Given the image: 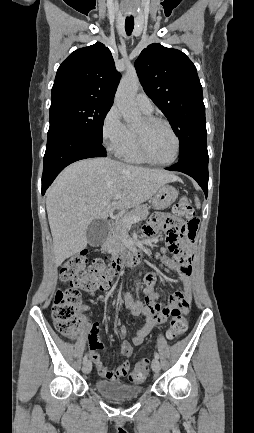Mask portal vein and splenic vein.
Masks as SVG:
<instances>
[{"mask_svg":"<svg viewBox=\"0 0 254 433\" xmlns=\"http://www.w3.org/2000/svg\"><path fill=\"white\" fill-rule=\"evenodd\" d=\"M122 193H118L114 196V200H118L119 198H121ZM123 221L127 224L130 225L132 223H136L139 221V217L137 216H127V217H123Z\"/></svg>","mask_w":254,"mask_h":433,"instance_id":"obj_1","label":"portal vein and splenic vein"}]
</instances>
